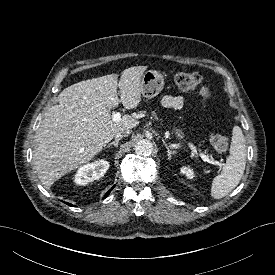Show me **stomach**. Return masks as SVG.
<instances>
[{
	"label": "stomach",
	"instance_id": "stomach-1",
	"mask_svg": "<svg viewBox=\"0 0 275 275\" xmlns=\"http://www.w3.org/2000/svg\"><path fill=\"white\" fill-rule=\"evenodd\" d=\"M163 86V75L156 70H148L143 74L141 79V94L143 97L151 99L161 92ZM173 132L179 140L185 141V135L180 128L174 127Z\"/></svg>",
	"mask_w": 275,
	"mask_h": 275
}]
</instances>
